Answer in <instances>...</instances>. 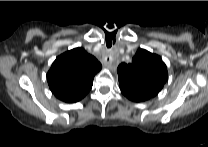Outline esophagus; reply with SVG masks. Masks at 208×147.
I'll return each instance as SVG.
<instances>
[{
    "label": "esophagus",
    "mask_w": 208,
    "mask_h": 147,
    "mask_svg": "<svg viewBox=\"0 0 208 147\" xmlns=\"http://www.w3.org/2000/svg\"><path fill=\"white\" fill-rule=\"evenodd\" d=\"M104 66L106 68H111L112 67V61H111V59H106L105 62H104Z\"/></svg>",
    "instance_id": "1"
}]
</instances>
